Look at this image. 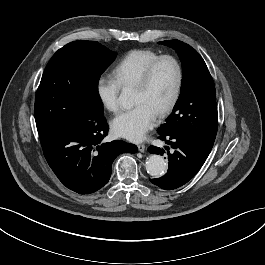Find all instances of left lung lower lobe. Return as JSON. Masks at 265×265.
Returning <instances> with one entry per match:
<instances>
[{
	"label": "left lung lower lobe",
	"mask_w": 265,
	"mask_h": 265,
	"mask_svg": "<svg viewBox=\"0 0 265 265\" xmlns=\"http://www.w3.org/2000/svg\"><path fill=\"white\" fill-rule=\"evenodd\" d=\"M160 139L169 144L174 152L170 153L169 147H165L169 161L168 172L164 176L150 179V181L165 190L176 189L197 174L209 153L205 152L194 141L182 136L160 135ZM148 151L160 155L164 153L163 149L155 146H150Z\"/></svg>",
	"instance_id": "1"
}]
</instances>
